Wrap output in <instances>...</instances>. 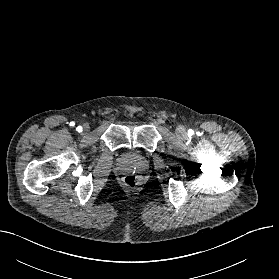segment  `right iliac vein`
<instances>
[{
    "mask_svg": "<svg viewBox=\"0 0 279 279\" xmlns=\"http://www.w3.org/2000/svg\"><path fill=\"white\" fill-rule=\"evenodd\" d=\"M89 128H90L89 125L85 124L84 127H83L84 132H88Z\"/></svg>",
    "mask_w": 279,
    "mask_h": 279,
    "instance_id": "63e3f726",
    "label": "right iliac vein"
}]
</instances>
